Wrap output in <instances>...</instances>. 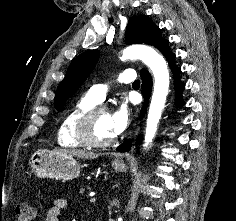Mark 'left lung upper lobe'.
I'll list each match as a JSON object with an SVG mask.
<instances>
[{
	"label": "left lung upper lobe",
	"instance_id": "5c2ea615",
	"mask_svg": "<svg viewBox=\"0 0 236 221\" xmlns=\"http://www.w3.org/2000/svg\"><path fill=\"white\" fill-rule=\"evenodd\" d=\"M158 26L144 15L133 16L127 25L125 43H153L160 38ZM99 58L98 50H89L77 56L69 65L65 78L60 83L54 100L56 110L62 111L66 101L87 79Z\"/></svg>",
	"mask_w": 236,
	"mask_h": 221
}]
</instances>
